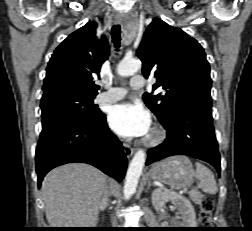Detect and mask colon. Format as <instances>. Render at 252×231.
<instances>
[{
  "label": "colon",
  "mask_w": 252,
  "mask_h": 231,
  "mask_svg": "<svg viewBox=\"0 0 252 231\" xmlns=\"http://www.w3.org/2000/svg\"><path fill=\"white\" fill-rule=\"evenodd\" d=\"M214 209V201L210 197H205L200 202V212L198 223L202 226H208L211 223V215Z\"/></svg>",
  "instance_id": "1"
}]
</instances>
